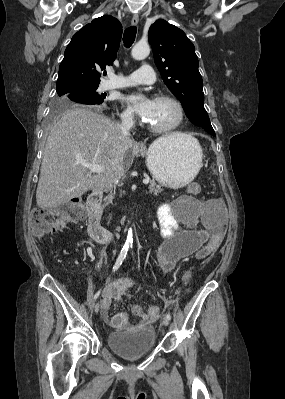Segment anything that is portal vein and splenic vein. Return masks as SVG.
Instances as JSON below:
<instances>
[{"mask_svg": "<svg viewBox=\"0 0 285 399\" xmlns=\"http://www.w3.org/2000/svg\"><path fill=\"white\" fill-rule=\"evenodd\" d=\"M84 167H87L90 169L91 172H96V173H100L102 172L104 169L102 166L100 165H96V164H91V163H83L82 164ZM144 184H148L149 180L148 179H144L143 180Z\"/></svg>", "mask_w": 285, "mask_h": 399, "instance_id": "obj_1", "label": "portal vein and splenic vein"}]
</instances>
